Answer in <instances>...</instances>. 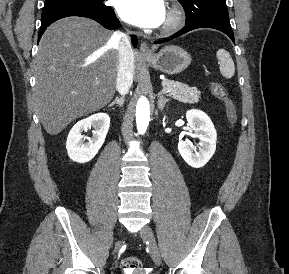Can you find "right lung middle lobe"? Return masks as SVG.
I'll list each match as a JSON object with an SVG mask.
<instances>
[{"instance_id":"obj_1","label":"right lung middle lobe","mask_w":289,"mask_h":274,"mask_svg":"<svg viewBox=\"0 0 289 274\" xmlns=\"http://www.w3.org/2000/svg\"><path fill=\"white\" fill-rule=\"evenodd\" d=\"M102 2L103 0H45L43 11L67 6H79L97 10L106 9L108 6Z\"/></svg>"}]
</instances>
